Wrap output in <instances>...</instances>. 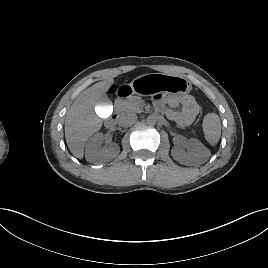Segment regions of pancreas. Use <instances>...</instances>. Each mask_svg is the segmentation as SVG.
Masks as SVG:
<instances>
[{
    "label": "pancreas",
    "mask_w": 268,
    "mask_h": 268,
    "mask_svg": "<svg viewBox=\"0 0 268 268\" xmlns=\"http://www.w3.org/2000/svg\"><path fill=\"white\" fill-rule=\"evenodd\" d=\"M145 105L144 101L139 96H132L129 99L120 100L116 104V109L121 114L128 112H140Z\"/></svg>",
    "instance_id": "1"
}]
</instances>
